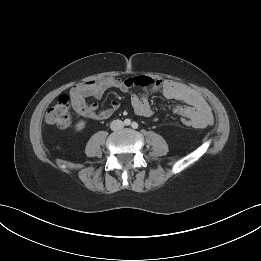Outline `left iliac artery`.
Segmentation results:
<instances>
[{
    "instance_id": "44dca946",
    "label": "left iliac artery",
    "mask_w": 261,
    "mask_h": 261,
    "mask_svg": "<svg viewBox=\"0 0 261 261\" xmlns=\"http://www.w3.org/2000/svg\"><path fill=\"white\" fill-rule=\"evenodd\" d=\"M131 126H132V128L137 129L138 128V123L137 122H133L131 124Z\"/></svg>"
}]
</instances>
